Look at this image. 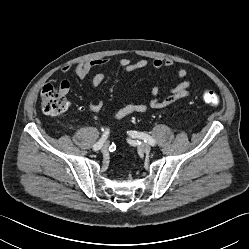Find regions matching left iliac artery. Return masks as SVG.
I'll use <instances>...</instances> for the list:
<instances>
[{"label": "left iliac artery", "mask_w": 249, "mask_h": 249, "mask_svg": "<svg viewBox=\"0 0 249 249\" xmlns=\"http://www.w3.org/2000/svg\"><path fill=\"white\" fill-rule=\"evenodd\" d=\"M129 135L132 136V137H134V138L142 139V140H144V142H147V143H149L152 146L156 145V141L151 136H149L146 133L137 132V131H130Z\"/></svg>", "instance_id": "44dca946"}]
</instances>
